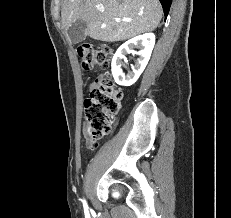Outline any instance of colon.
<instances>
[{"label":"colon","instance_id":"obj_1","mask_svg":"<svg viewBox=\"0 0 231 218\" xmlns=\"http://www.w3.org/2000/svg\"><path fill=\"white\" fill-rule=\"evenodd\" d=\"M77 54L85 71L96 67L107 68L111 51L107 47L89 43L80 44ZM122 92L115 86L109 74L101 78L91 88L89 97L84 102L85 132L95 145L108 134L113 116L118 112Z\"/></svg>","mask_w":231,"mask_h":218}]
</instances>
